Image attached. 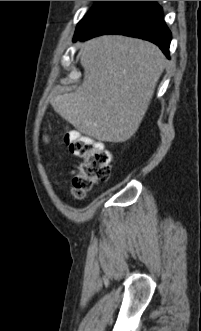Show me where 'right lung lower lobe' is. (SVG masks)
I'll use <instances>...</instances> for the list:
<instances>
[{
	"mask_svg": "<svg viewBox=\"0 0 201 331\" xmlns=\"http://www.w3.org/2000/svg\"><path fill=\"white\" fill-rule=\"evenodd\" d=\"M104 34H121L148 40L158 45L169 58L171 32L162 8L156 1H116L105 13L73 41Z\"/></svg>",
	"mask_w": 201,
	"mask_h": 331,
	"instance_id": "98d812e1",
	"label": "right lung lower lobe"
}]
</instances>
